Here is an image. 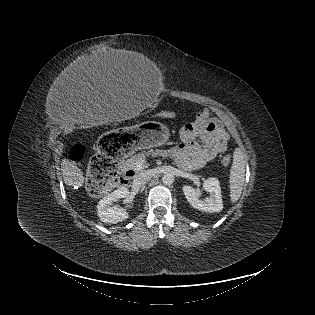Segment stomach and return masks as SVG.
<instances>
[{
	"label": "stomach",
	"instance_id": "stomach-1",
	"mask_svg": "<svg viewBox=\"0 0 315 315\" xmlns=\"http://www.w3.org/2000/svg\"><path fill=\"white\" fill-rule=\"evenodd\" d=\"M168 126L160 121L142 122L136 131L114 132L103 136L99 142L101 153L107 157L129 158L141 149L164 145L170 138Z\"/></svg>",
	"mask_w": 315,
	"mask_h": 315
}]
</instances>
